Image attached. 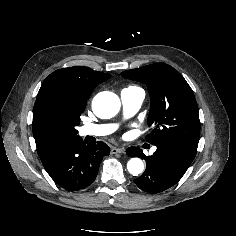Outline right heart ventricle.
Here are the masks:
<instances>
[{
  "label": "right heart ventricle",
  "instance_id": "1",
  "mask_svg": "<svg viewBox=\"0 0 236 236\" xmlns=\"http://www.w3.org/2000/svg\"><path fill=\"white\" fill-rule=\"evenodd\" d=\"M132 88H137V87H130V88H128V89H132Z\"/></svg>",
  "mask_w": 236,
  "mask_h": 236
}]
</instances>
